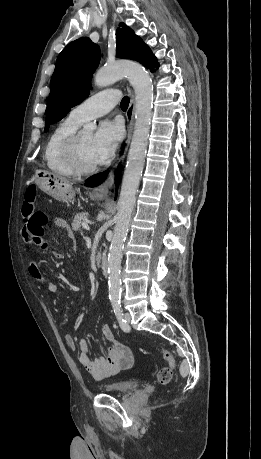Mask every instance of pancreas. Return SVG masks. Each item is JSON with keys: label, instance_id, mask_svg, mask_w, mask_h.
I'll return each instance as SVG.
<instances>
[{"label": "pancreas", "instance_id": "1", "mask_svg": "<svg viewBox=\"0 0 261 459\" xmlns=\"http://www.w3.org/2000/svg\"><path fill=\"white\" fill-rule=\"evenodd\" d=\"M88 213L87 212H80L78 213L72 222V228L74 231L80 230L82 223L87 221Z\"/></svg>", "mask_w": 261, "mask_h": 459}]
</instances>
